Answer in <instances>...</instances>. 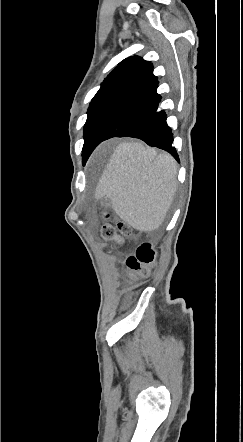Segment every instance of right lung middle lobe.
<instances>
[{
    "mask_svg": "<svg viewBox=\"0 0 243 442\" xmlns=\"http://www.w3.org/2000/svg\"><path fill=\"white\" fill-rule=\"evenodd\" d=\"M122 98H124V96L109 95L92 99L87 112V121L84 126V146L82 153L85 152L92 134L102 119Z\"/></svg>",
    "mask_w": 243,
    "mask_h": 442,
    "instance_id": "dd1d6c3e",
    "label": "right lung middle lobe"
}]
</instances>
